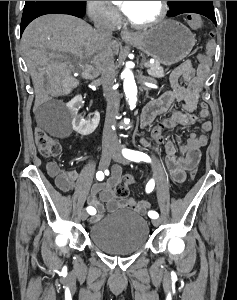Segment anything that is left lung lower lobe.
<instances>
[{"label": "left lung lower lobe", "mask_w": 237, "mask_h": 300, "mask_svg": "<svg viewBox=\"0 0 237 300\" xmlns=\"http://www.w3.org/2000/svg\"><path fill=\"white\" fill-rule=\"evenodd\" d=\"M198 14H201V15L206 16V17L209 18L215 25L217 24V23H216V18H215L214 10H202V11H199Z\"/></svg>", "instance_id": "left-lung-lower-lobe-1"}]
</instances>
